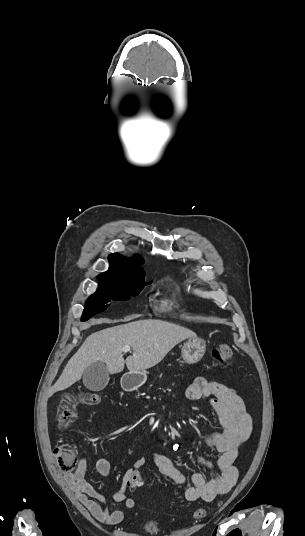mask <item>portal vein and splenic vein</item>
<instances>
[{"instance_id": "18ae733b", "label": "portal vein and splenic vein", "mask_w": 305, "mask_h": 536, "mask_svg": "<svg viewBox=\"0 0 305 536\" xmlns=\"http://www.w3.org/2000/svg\"><path fill=\"white\" fill-rule=\"evenodd\" d=\"M131 348L130 346H123L122 352H130Z\"/></svg>"}]
</instances>
